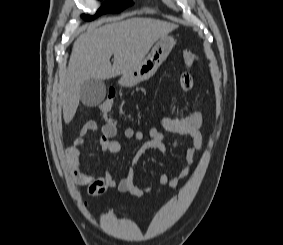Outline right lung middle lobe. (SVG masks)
Listing matches in <instances>:
<instances>
[{"instance_id": "1", "label": "right lung middle lobe", "mask_w": 283, "mask_h": 245, "mask_svg": "<svg viewBox=\"0 0 283 245\" xmlns=\"http://www.w3.org/2000/svg\"><path fill=\"white\" fill-rule=\"evenodd\" d=\"M132 4V0H109L105 2L94 16L82 15L85 20L91 21L104 13H118Z\"/></svg>"}]
</instances>
